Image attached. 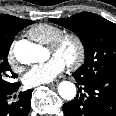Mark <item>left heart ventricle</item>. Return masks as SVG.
<instances>
[{
    "instance_id": "1",
    "label": "left heart ventricle",
    "mask_w": 116,
    "mask_h": 116,
    "mask_svg": "<svg viewBox=\"0 0 116 116\" xmlns=\"http://www.w3.org/2000/svg\"><path fill=\"white\" fill-rule=\"evenodd\" d=\"M49 52L51 56H58L67 63L75 57L76 48L73 42L68 41L59 51L54 52L52 50H49Z\"/></svg>"
}]
</instances>
